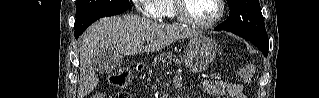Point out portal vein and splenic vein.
Returning <instances> with one entry per match:
<instances>
[{"instance_id": "1", "label": "portal vein and splenic vein", "mask_w": 319, "mask_h": 98, "mask_svg": "<svg viewBox=\"0 0 319 98\" xmlns=\"http://www.w3.org/2000/svg\"><path fill=\"white\" fill-rule=\"evenodd\" d=\"M148 41H152V39H148Z\"/></svg>"}]
</instances>
